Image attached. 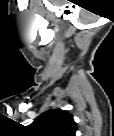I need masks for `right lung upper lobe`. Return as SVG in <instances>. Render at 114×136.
<instances>
[{
    "label": "right lung upper lobe",
    "mask_w": 114,
    "mask_h": 136,
    "mask_svg": "<svg viewBox=\"0 0 114 136\" xmlns=\"http://www.w3.org/2000/svg\"><path fill=\"white\" fill-rule=\"evenodd\" d=\"M76 130L72 114L61 109L42 113L29 126L34 136H75Z\"/></svg>",
    "instance_id": "cb5924a9"
}]
</instances>
